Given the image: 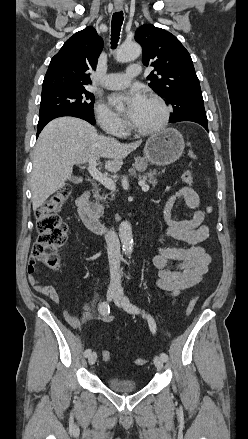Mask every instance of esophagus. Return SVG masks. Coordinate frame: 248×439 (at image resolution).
Segmentation results:
<instances>
[{
    "label": "esophagus",
    "mask_w": 248,
    "mask_h": 439,
    "mask_svg": "<svg viewBox=\"0 0 248 439\" xmlns=\"http://www.w3.org/2000/svg\"><path fill=\"white\" fill-rule=\"evenodd\" d=\"M115 9H116L117 11H120V10L122 9V5H121V4H116V5H115Z\"/></svg>",
    "instance_id": "obj_1"
}]
</instances>
